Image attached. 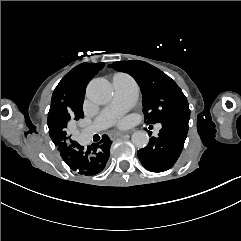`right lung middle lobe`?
<instances>
[{
    "mask_svg": "<svg viewBox=\"0 0 241 241\" xmlns=\"http://www.w3.org/2000/svg\"><path fill=\"white\" fill-rule=\"evenodd\" d=\"M104 67V63H82L67 73L55 88L49 114L69 126L84 117L83 101L90 80Z\"/></svg>",
    "mask_w": 241,
    "mask_h": 241,
    "instance_id": "obj_1",
    "label": "right lung middle lobe"
}]
</instances>
